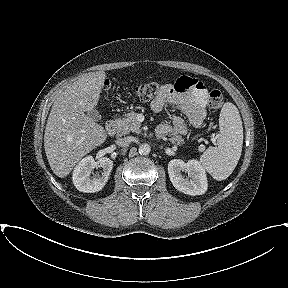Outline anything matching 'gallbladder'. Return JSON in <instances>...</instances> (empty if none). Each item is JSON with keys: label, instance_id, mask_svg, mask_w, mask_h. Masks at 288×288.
Segmentation results:
<instances>
[{"label": "gallbladder", "instance_id": "gallbladder-1", "mask_svg": "<svg viewBox=\"0 0 288 288\" xmlns=\"http://www.w3.org/2000/svg\"><path fill=\"white\" fill-rule=\"evenodd\" d=\"M88 116L93 119L94 121H100L101 120V115L97 110H91L87 112Z\"/></svg>", "mask_w": 288, "mask_h": 288}]
</instances>
